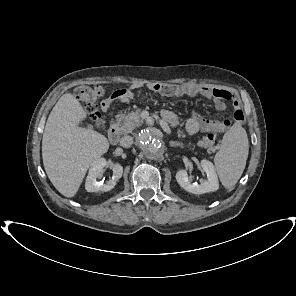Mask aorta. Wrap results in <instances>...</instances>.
Returning a JSON list of instances; mask_svg holds the SVG:
<instances>
[{
    "mask_svg": "<svg viewBox=\"0 0 296 296\" xmlns=\"http://www.w3.org/2000/svg\"><path fill=\"white\" fill-rule=\"evenodd\" d=\"M137 145L149 159L160 158L164 153V145L149 131H141L137 136Z\"/></svg>",
    "mask_w": 296,
    "mask_h": 296,
    "instance_id": "762f6f07",
    "label": "aorta"
}]
</instances>
